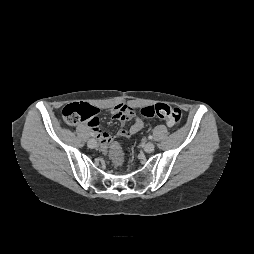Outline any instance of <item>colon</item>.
Masks as SVG:
<instances>
[{
    "label": "colon",
    "mask_w": 254,
    "mask_h": 254,
    "mask_svg": "<svg viewBox=\"0 0 254 254\" xmlns=\"http://www.w3.org/2000/svg\"><path fill=\"white\" fill-rule=\"evenodd\" d=\"M97 114L96 108L84 103L68 104L62 109V118L69 125L80 122L90 123L97 117ZM141 114L147 118H159L169 127H176L182 119V112L179 108L165 103L145 106L141 109ZM111 155L117 165L124 162L118 146H112Z\"/></svg>",
    "instance_id": "1"
}]
</instances>
